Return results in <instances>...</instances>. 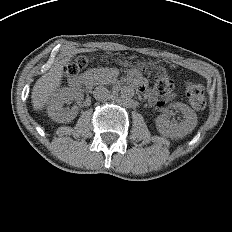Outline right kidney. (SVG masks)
Instances as JSON below:
<instances>
[{
  "instance_id": "right-kidney-1",
  "label": "right kidney",
  "mask_w": 232,
  "mask_h": 232,
  "mask_svg": "<svg viewBox=\"0 0 232 232\" xmlns=\"http://www.w3.org/2000/svg\"><path fill=\"white\" fill-rule=\"evenodd\" d=\"M76 97V92L71 88H60L53 92L47 103L48 116L58 123H69L77 115L76 107L72 109L64 108V104L72 101Z\"/></svg>"
}]
</instances>
